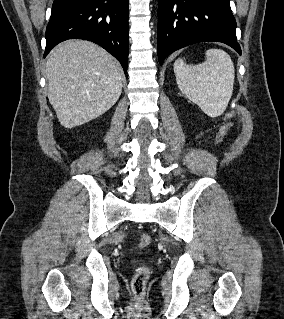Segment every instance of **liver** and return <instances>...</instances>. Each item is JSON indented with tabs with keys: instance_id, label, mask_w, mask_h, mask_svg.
<instances>
[{
	"instance_id": "obj_1",
	"label": "liver",
	"mask_w": 284,
	"mask_h": 319,
	"mask_svg": "<svg viewBox=\"0 0 284 319\" xmlns=\"http://www.w3.org/2000/svg\"><path fill=\"white\" fill-rule=\"evenodd\" d=\"M122 69L102 47L85 40L59 44L46 63L48 99L65 128L108 111L122 92Z\"/></svg>"
}]
</instances>
